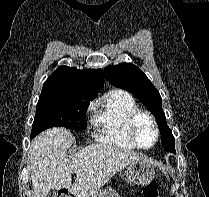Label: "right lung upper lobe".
<instances>
[{"label":"right lung upper lobe","instance_id":"obj_1","mask_svg":"<svg viewBox=\"0 0 209 197\" xmlns=\"http://www.w3.org/2000/svg\"><path fill=\"white\" fill-rule=\"evenodd\" d=\"M44 85L78 86L96 96L104 85V73L102 69L79 70L75 67L60 66L48 77Z\"/></svg>","mask_w":209,"mask_h":197}]
</instances>
